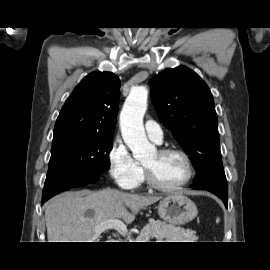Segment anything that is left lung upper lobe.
Here are the masks:
<instances>
[{
    "label": "left lung upper lobe",
    "mask_w": 270,
    "mask_h": 270,
    "mask_svg": "<svg viewBox=\"0 0 270 270\" xmlns=\"http://www.w3.org/2000/svg\"><path fill=\"white\" fill-rule=\"evenodd\" d=\"M158 117L192 158L200 181L224 171L219 149L218 120L207 84L185 66L167 68L149 81Z\"/></svg>",
    "instance_id": "1"
}]
</instances>
